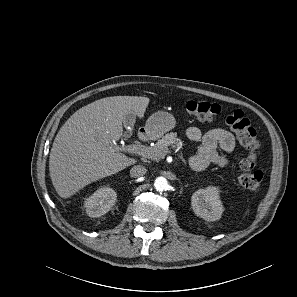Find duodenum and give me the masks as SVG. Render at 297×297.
I'll use <instances>...</instances> for the list:
<instances>
[{
    "mask_svg": "<svg viewBox=\"0 0 297 297\" xmlns=\"http://www.w3.org/2000/svg\"><path fill=\"white\" fill-rule=\"evenodd\" d=\"M151 136V133L146 129H140L137 133V137L142 142H147Z\"/></svg>",
    "mask_w": 297,
    "mask_h": 297,
    "instance_id": "1",
    "label": "duodenum"
}]
</instances>
